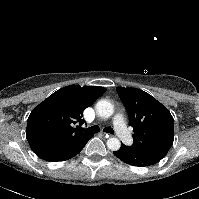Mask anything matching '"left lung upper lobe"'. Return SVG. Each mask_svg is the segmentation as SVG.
<instances>
[{
  "label": "left lung upper lobe",
  "mask_w": 199,
  "mask_h": 199,
  "mask_svg": "<svg viewBox=\"0 0 199 199\" xmlns=\"http://www.w3.org/2000/svg\"><path fill=\"white\" fill-rule=\"evenodd\" d=\"M117 92L129 114V125L135 132L132 147L160 159L165 157L174 141L171 113L142 90L118 87Z\"/></svg>",
  "instance_id": "obj_1"
}]
</instances>
